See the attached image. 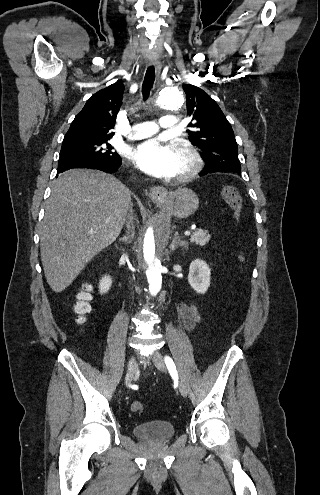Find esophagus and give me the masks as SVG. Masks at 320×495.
<instances>
[{"instance_id": "obj_1", "label": "esophagus", "mask_w": 320, "mask_h": 495, "mask_svg": "<svg viewBox=\"0 0 320 495\" xmlns=\"http://www.w3.org/2000/svg\"><path fill=\"white\" fill-rule=\"evenodd\" d=\"M149 65L154 66L157 74L159 75L161 70L160 62L155 59H150ZM149 195L153 201L159 202L162 201L167 196V190L162 186H153L149 190Z\"/></svg>"}]
</instances>
